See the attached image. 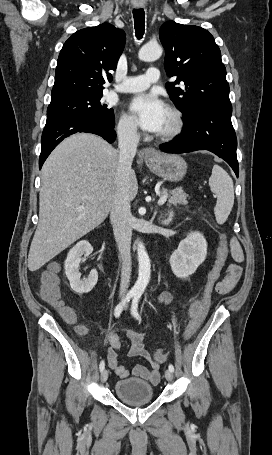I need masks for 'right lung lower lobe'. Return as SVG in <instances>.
<instances>
[{
  "mask_svg": "<svg viewBox=\"0 0 272 455\" xmlns=\"http://www.w3.org/2000/svg\"><path fill=\"white\" fill-rule=\"evenodd\" d=\"M114 122H106L95 117L74 116L46 122L41 138V154L39 169H41L51 151L66 137L77 133H93L103 137L109 143L114 142L116 133Z\"/></svg>",
  "mask_w": 272,
  "mask_h": 455,
  "instance_id": "98d812e1",
  "label": "right lung lower lobe"
}]
</instances>
